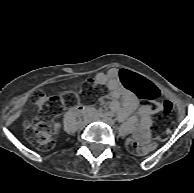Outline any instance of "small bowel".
<instances>
[{
  "instance_id": "small-bowel-1",
  "label": "small bowel",
  "mask_w": 194,
  "mask_h": 193,
  "mask_svg": "<svg viewBox=\"0 0 194 193\" xmlns=\"http://www.w3.org/2000/svg\"><path fill=\"white\" fill-rule=\"evenodd\" d=\"M119 76V70L112 68L107 72L98 73L95 76V82L107 87L108 95L113 99L110 107L116 113L119 120H127L131 113L136 111L139 116V122L136 124L135 137L140 142L147 143L150 139L149 131L151 127L152 109L147 104L139 106L136 93L126 88ZM152 86L158 92V89L153 84ZM130 121L131 123H136L133 118H130Z\"/></svg>"
}]
</instances>
